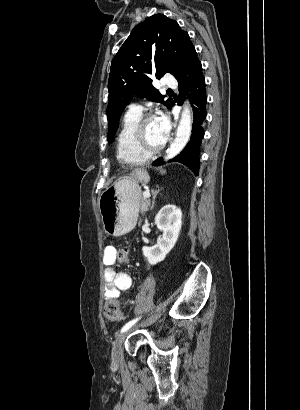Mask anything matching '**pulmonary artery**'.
I'll return each instance as SVG.
<instances>
[{
  "mask_svg": "<svg viewBox=\"0 0 300 410\" xmlns=\"http://www.w3.org/2000/svg\"><path fill=\"white\" fill-rule=\"evenodd\" d=\"M163 84L166 87L175 88L177 86V81L173 76L165 75L163 78ZM129 111L141 113L142 107L138 104H132L129 106Z\"/></svg>",
  "mask_w": 300,
  "mask_h": 410,
  "instance_id": "1",
  "label": "pulmonary artery"
}]
</instances>
